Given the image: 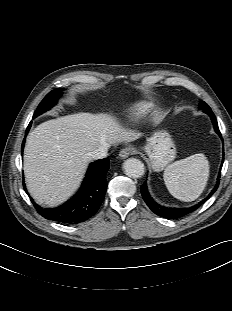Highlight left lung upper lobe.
Here are the masks:
<instances>
[{
  "label": "left lung upper lobe",
  "mask_w": 232,
  "mask_h": 311,
  "mask_svg": "<svg viewBox=\"0 0 232 311\" xmlns=\"http://www.w3.org/2000/svg\"><path fill=\"white\" fill-rule=\"evenodd\" d=\"M200 108L202 109V110H209V109H211L205 102H201L200 103Z\"/></svg>",
  "instance_id": "obj_1"
}]
</instances>
